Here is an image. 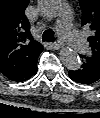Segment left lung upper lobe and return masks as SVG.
<instances>
[{
  "label": "left lung upper lobe",
  "instance_id": "1",
  "mask_svg": "<svg viewBox=\"0 0 100 118\" xmlns=\"http://www.w3.org/2000/svg\"><path fill=\"white\" fill-rule=\"evenodd\" d=\"M82 6V25L90 27L93 35L88 37L92 54L87 57L100 65V0H80Z\"/></svg>",
  "mask_w": 100,
  "mask_h": 118
}]
</instances>
